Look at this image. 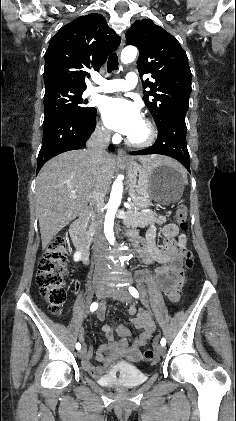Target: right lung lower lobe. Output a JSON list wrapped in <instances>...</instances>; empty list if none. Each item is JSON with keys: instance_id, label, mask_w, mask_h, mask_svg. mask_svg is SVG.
<instances>
[{"instance_id": "98d812e1", "label": "right lung lower lobe", "mask_w": 236, "mask_h": 421, "mask_svg": "<svg viewBox=\"0 0 236 421\" xmlns=\"http://www.w3.org/2000/svg\"><path fill=\"white\" fill-rule=\"evenodd\" d=\"M96 110L85 119L59 115L43 122V140L37 161V173L54 156L65 151L80 149L94 132ZM113 151L114 146L110 145Z\"/></svg>"}]
</instances>
